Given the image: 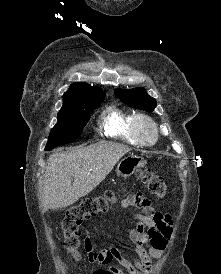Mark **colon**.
Returning <instances> with one entry per match:
<instances>
[{
  "label": "colon",
  "mask_w": 221,
  "mask_h": 274,
  "mask_svg": "<svg viewBox=\"0 0 221 274\" xmlns=\"http://www.w3.org/2000/svg\"><path fill=\"white\" fill-rule=\"evenodd\" d=\"M138 178L152 195L158 198L165 195L167 186L162 176L150 169H142L138 172ZM114 200V192L108 190L101 196L84 199L79 205L72 207L66 213L62 221L64 245L74 259L78 260L80 258L78 232L83 220L106 211Z\"/></svg>",
  "instance_id": "obj_1"
}]
</instances>
